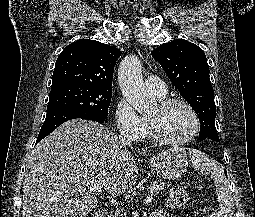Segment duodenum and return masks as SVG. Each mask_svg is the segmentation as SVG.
I'll return each mask as SVG.
<instances>
[{
    "mask_svg": "<svg viewBox=\"0 0 255 217\" xmlns=\"http://www.w3.org/2000/svg\"><path fill=\"white\" fill-rule=\"evenodd\" d=\"M106 216L107 212L105 209H99L91 215V217H106Z\"/></svg>",
    "mask_w": 255,
    "mask_h": 217,
    "instance_id": "obj_1",
    "label": "duodenum"
}]
</instances>
